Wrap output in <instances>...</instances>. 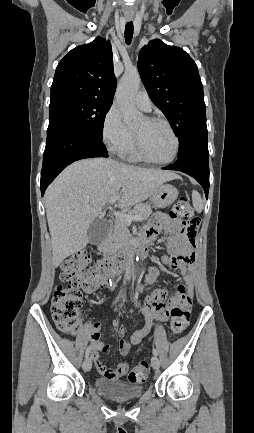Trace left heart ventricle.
<instances>
[{"label":"left heart ventricle","instance_id":"obj_1","mask_svg":"<svg viewBox=\"0 0 254 433\" xmlns=\"http://www.w3.org/2000/svg\"><path fill=\"white\" fill-rule=\"evenodd\" d=\"M141 139L148 155L159 161L169 159L175 148V142L162 124H152L144 119L134 130Z\"/></svg>","mask_w":254,"mask_h":433}]
</instances>
